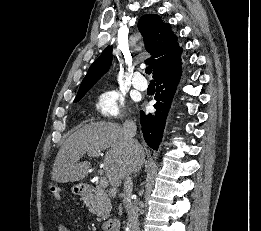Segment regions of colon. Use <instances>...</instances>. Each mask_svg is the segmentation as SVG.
<instances>
[{"instance_id": "obj_1", "label": "colon", "mask_w": 261, "mask_h": 231, "mask_svg": "<svg viewBox=\"0 0 261 231\" xmlns=\"http://www.w3.org/2000/svg\"><path fill=\"white\" fill-rule=\"evenodd\" d=\"M52 193L54 194L55 197H57V198L60 197V191L58 188H56V187L52 188Z\"/></svg>"}]
</instances>
